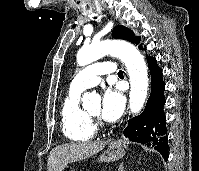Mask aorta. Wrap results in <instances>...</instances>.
Masks as SVG:
<instances>
[{
	"instance_id": "obj_1",
	"label": "aorta",
	"mask_w": 199,
	"mask_h": 171,
	"mask_svg": "<svg viewBox=\"0 0 199 171\" xmlns=\"http://www.w3.org/2000/svg\"><path fill=\"white\" fill-rule=\"evenodd\" d=\"M107 54L119 57L126 65L131 84L130 109L132 113H138L147 97L148 74L144 58L134 45L119 40L92 43L79 50L77 62L80 66H84ZM96 99L99 100V97L85 93L82 98L83 106L88 107Z\"/></svg>"
}]
</instances>
